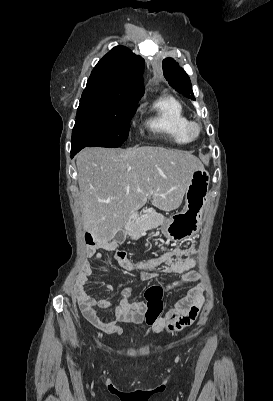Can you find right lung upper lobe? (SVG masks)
Instances as JSON below:
<instances>
[{"mask_svg":"<svg viewBox=\"0 0 273 401\" xmlns=\"http://www.w3.org/2000/svg\"><path fill=\"white\" fill-rule=\"evenodd\" d=\"M144 60L124 46L114 47L94 67L82 98L136 105L144 93Z\"/></svg>","mask_w":273,"mask_h":401,"instance_id":"obj_1","label":"right lung upper lobe"}]
</instances>
